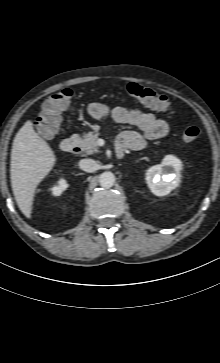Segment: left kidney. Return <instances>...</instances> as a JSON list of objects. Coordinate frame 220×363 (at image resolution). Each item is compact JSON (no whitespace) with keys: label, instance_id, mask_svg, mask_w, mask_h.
<instances>
[{"label":"left kidney","instance_id":"left-kidney-1","mask_svg":"<svg viewBox=\"0 0 220 363\" xmlns=\"http://www.w3.org/2000/svg\"><path fill=\"white\" fill-rule=\"evenodd\" d=\"M182 163L174 156L168 155L159 165L149 168L146 172V183L156 196H165L174 189L179 178Z\"/></svg>","mask_w":220,"mask_h":363}]
</instances>
